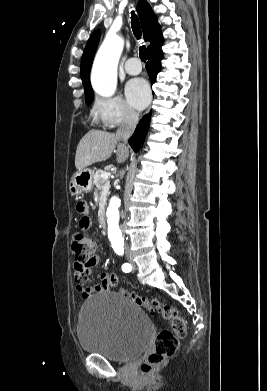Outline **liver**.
<instances>
[{
	"instance_id": "1",
	"label": "liver",
	"mask_w": 267,
	"mask_h": 391,
	"mask_svg": "<svg viewBox=\"0 0 267 391\" xmlns=\"http://www.w3.org/2000/svg\"><path fill=\"white\" fill-rule=\"evenodd\" d=\"M119 141L113 133L90 130L77 146L75 155L77 170L80 171L94 163L107 160L115 151L116 146L117 163H123L128 158L129 151Z\"/></svg>"
}]
</instances>
